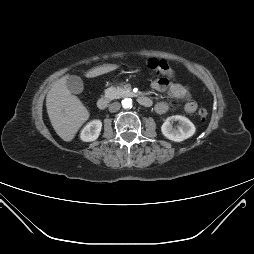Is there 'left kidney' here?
Returning a JSON list of instances; mask_svg holds the SVG:
<instances>
[{
  "label": "left kidney",
  "mask_w": 254,
  "mask_h": 254,
  "mask_svg": "<svg viewBox=\"0 0 254 254\" xmlns=\"http://www.w3.org/2000/svg\"><path fill=\"white\" fill-rule=\"evenodd\" d=\"M172 121H178L179 126L173 127ZM162 134L169 140L181 142L194 135L196 128L194 124L186 117L175 115L168 117L161 126Z\"/></svg>",
  "instance_id": "1"
}]
</instances>
